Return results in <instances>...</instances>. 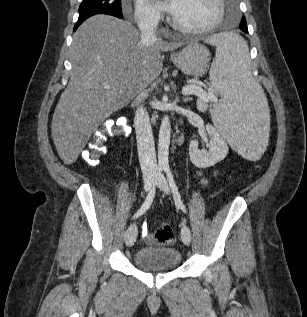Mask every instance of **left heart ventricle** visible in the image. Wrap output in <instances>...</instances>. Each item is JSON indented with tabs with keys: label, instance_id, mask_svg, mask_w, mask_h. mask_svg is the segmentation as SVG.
<instances>
[{
	"label": "left heart ventricle",
	"instance_id": "obj_1",
	"mask_svg": "<svg viewBox=\"0 0 307 317\" xmlns=\"http://www.w3.org/2000/svg\"><path fill=\"white\" fill-rule=\"evenodd\" d=\"M217 12L216 0H178L172 16L183 26L197 28L213 22Z\"/></svg>",
	"mask_w": 307,
	"mask_h": 317
}]
</instances>
